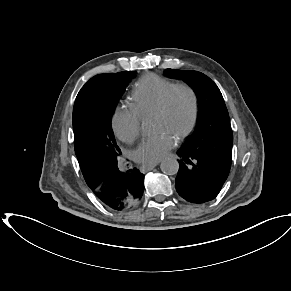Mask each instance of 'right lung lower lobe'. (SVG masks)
Returning a JSON list of instances; mask_svg holds the SVG:
<instances>
[{
	"label": "right lung lower lobe",
	"instance_id": "obj_1",
	"mask_svg": "<svg viewBox=\"0 0 291 291\" xmlns=\"http://www.w3.org/2000/svg\"><path fill=\"white\" fill-rule=\"evenodd\" d=\"M89 172L100 188L94 194L109 208L125 211L134 207L142 198L144 175L136 168L122 172L116 163L90 165ZM82 170L84 178L86 170Z\"/></svg>",
	"mask_w": 291,
	"mask_h": 291
}]
</instances>
